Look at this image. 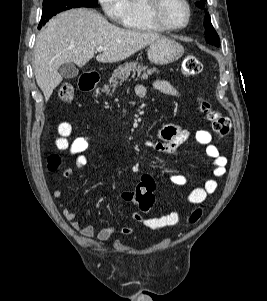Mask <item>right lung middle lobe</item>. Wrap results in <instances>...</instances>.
I'll use <instances>...</instances> for the list:
<instances>
[{"label":"right lung middle lobe","instance_id":"obj_1","mask_svg":"<svg viewBox=\"0 0 267 301\" xmlns=\"http://www.w3.org/2000/svg\"><path fill=\"white\" fill-rule=\"evenodd\" d=\"M98 0H44L39 28L54 15L72 8L95 7Z\"/></svg>","mask_w":267,"mask_h":301}]
</instances>
